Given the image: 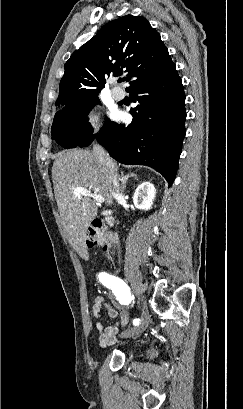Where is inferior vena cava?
<instances>
[{
  "label": "inferior vena cava",
  "instance_id": "602c4592",
  "mask_svg": "<svg viewBox=\"0 0 243 409\" xmlns=\"http://www.w3.org/2000/svg\"><path fill=\"white\" fill-rule=\"evenodd\" d=\"M93 155L97 159V161L107 170L108 178L111 186V193L113 198H118L122 191L120 190L119 186V178L115 172L114 164L104 148L99 145L98 143L93 144Z\"/></svg>",
  "mask_w": 243,
  "mask_h": 409
}]
</instances>
